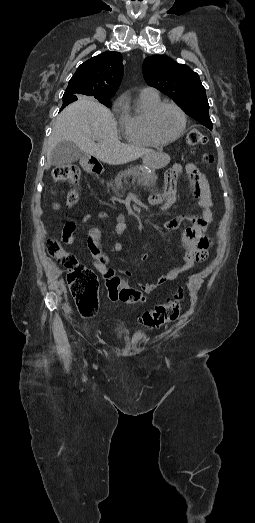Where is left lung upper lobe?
I'll return each mask as SVG.
<instances>
[{
  "mask_svg": "<svg viewBox=\"0 0 255 523\" xmlns=\"http://www.w3.org/2000/svg\"><path fill=\"white\" fill-rule=\"evenodd\" d=\"M142 71L148 85L172 98L190 117L212 130L206 91L197 73L164 56L146 58Z\"/></svg>",
  "mask_w": 255,
  "mask_h": 523,
  "instance_id": "5c2ea615",
  "label": "left lung upper lobe"
}]
</instances>
